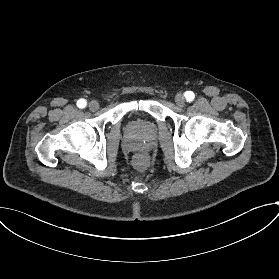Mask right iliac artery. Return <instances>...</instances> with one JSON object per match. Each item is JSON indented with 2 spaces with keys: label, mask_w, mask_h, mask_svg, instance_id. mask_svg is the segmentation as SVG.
I'll return each mask as SVG.
<instances>
[{
  "label": "right iliac artery",
  "mask_w": 279,
  "mask_h": 279,
  "mask_svg": "<svg viewBox=\"0 0 279 279\" xmlns=\"http://www.w3.org/2000/svg\"><path fill=\"white\" fill-rule=\"evenodd\" d=\"M86 104H87V102H86V100L85 99H79L78 101H77V106L79 107V108H85L86 107Z\"/></svg>",
  "instance_id": "1"
}]
</instances>
